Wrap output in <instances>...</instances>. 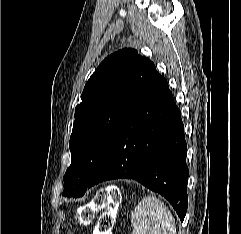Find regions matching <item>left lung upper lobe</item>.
<instances>
[{
	"label": "left lung upper lobe",
	"mask_w": 241,
	"mask_h": 234,
	"mask_svg": "<svg viewBox=\"0 0 241 234\" xmlns=\"http://www.w3.org/2000/svg\"><path fill=\"white\" fill-rule=\"evenodd\" d=\"M157 73L134 49L105 58L86 83L75 108L70 137L71 165L63 195L81 197L103 161L122 123Z\"/></svg>",
	"instance_id": "5c2ea615"
}]
</instances>
